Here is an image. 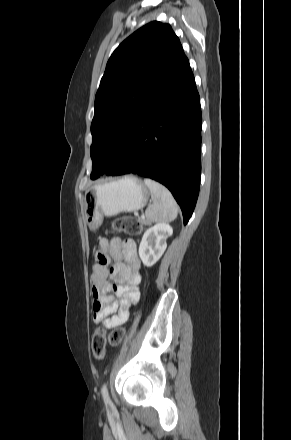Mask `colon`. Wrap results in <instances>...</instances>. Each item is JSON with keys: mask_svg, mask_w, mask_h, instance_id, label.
Returning a JSON list of instances; mask_svg holds the SVG:
<instances>
[{"mask_svg": "<svg viewBox=\"0 0 291 440\" xmlns=\"http://www.w3.org/2000/svg\"><path fill=\"white\" fill-rule=\"evenodd\" d=\"M113 228L119 233H128L133 236H139L143 232L141 223L132 216H123L114 220ZM124 337L122 329L114 330L109 337V341L113 345L119 344ZM107 337L103 330L96 331L91 339L92 352L95 358L103 359L106 352Z\"/></svg>", "mask_w": 291, "mask_h": 440, "instance_id": "1", "label": "colon"}]
</instances>
